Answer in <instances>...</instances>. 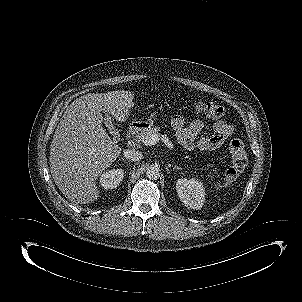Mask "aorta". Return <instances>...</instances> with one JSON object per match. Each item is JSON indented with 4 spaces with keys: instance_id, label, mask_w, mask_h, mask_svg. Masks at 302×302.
I'll list each match as a JSON object with an SVG mask.
<instances>
[{
    "instance_id": "1",
    "label": "aorta",
    "mask_w": 302,
    "mask_h": 302,
    "mask_svg": "<svg viewBox=\"0 0 302 302\" xmlns=\"http://www.w3.org/2000/svg\"><path fill=\"white\" fill-rule=\"evenodd\" d=\"M146 176L152 180L158 179L160 176V168L157 165H151L146 170Z\"/></svg>"
}]
</instances>
